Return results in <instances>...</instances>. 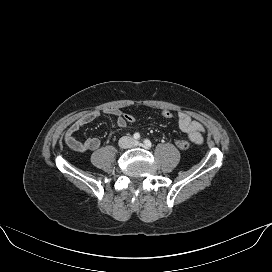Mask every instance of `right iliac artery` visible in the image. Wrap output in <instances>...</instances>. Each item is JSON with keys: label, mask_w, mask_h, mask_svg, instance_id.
Here are the masks:
<instances>
[{"label": "right iliac artery", "mask_w": 272, "mask_h": 272, "mask_svg": "<svg viewBox=\"0 0 272 272\" xmlns=\"http://www.w3.org/2000/svg\"><path fill=\"white\" fill-rule=\"evenodd\" d=\"M133 137H134V139L138 140V139L140 138V134H139V133H135V134L133 135Z\"/></svg>", "instance_id": "right-iliac-artery-1"}]
</instances>
